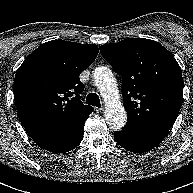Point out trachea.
<instances>
[{
	"mask_svg": "<svg viewBox=\"0 0 193 193\" xmlns=\"http://www.w3.org/2000/svg\"><path fill=\"white\" fill-rule=\"evenodd\" d=\"M86 104L100 108L99 96L95 93H89L86 98Z\"/></svg>",
	"mask_w": 193,
	"mask_h": 193,
	"instance_id": "1",
	"label": "trachea"
}]
</instances>
